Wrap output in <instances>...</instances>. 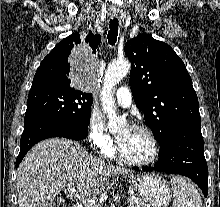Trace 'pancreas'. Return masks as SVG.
Segmentation results:
<instances>
[{
	"label": "pancreas",
	"instance_id": "obj_1",
	"mask_svg": "<svg viewBox=\"0 0 220 207\" xmlns=\"http://www.w3.org/2000/svg\"><path fill=\"white\" fill-rule=\"evenodd\" d=\"M128 207H147L146 204L139 198H134L128 202Z\"/></svg>",
	"mask_w": 220,
	"mask_h": 207
}]
</instances>
